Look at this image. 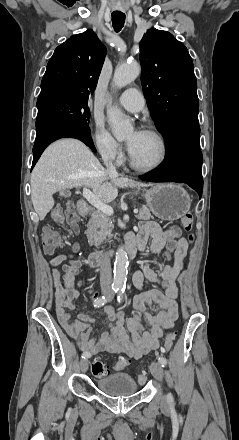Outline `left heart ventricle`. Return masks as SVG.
<instances>
[{
  "label": "left heart ventricle",
  "instance_id": "b2bd125f",
  "mask_svg": "<svg viewBox=\"0 0 239 440\" xmlns=\"http://www.w3.org/2000/svg\"><path fill=\"white\" fill-rule=\"evenodd\" d=\"M131 136L132 134L128 135V140ZM131 153L139 164L151 166L160 156V146L155 137L143 132Z\"/></svg>",
  "mask_w": 239,
  "mask_h": 440
}]
</instances>
